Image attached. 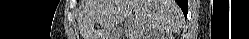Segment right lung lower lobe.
<instances>
[{
    "mask_svg": "<svg viewBox=\"0 0 249 39\" xmlns=\"http://www.w3.org/2000/svg\"><path fill=\"white\" fill-rule=\"evenodd\" d=\"M179 7L182 9L185 16H187L188 12V0H177Z\"/></svg>",
    "mask_w": 249,
    "mask_h": 39,
    "instance_id": "obj_1",
    "label": "right lung lower lobe"
}]
</instances>
